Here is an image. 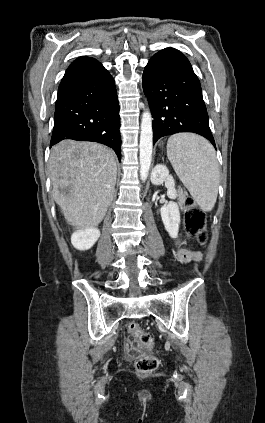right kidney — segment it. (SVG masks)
Returning a JSON list of instances; mask_svg holds the SVG:
<instances>
[{"mask_svg": "<svg viewBox=\"0 0 265 423\" xmlns=\"http://www.w3.org/2000/svg\"><path fill=\"white\" fill-rule=\"evenodd\" d=\"M100 237V231L96 227L80 229L71 236L72 245L78 250H89Z\"/></svg>", "mask_w": 265, "mask_h": 423, "instance_id": "obj_1", "label": "right kidney"}]
</instances>
